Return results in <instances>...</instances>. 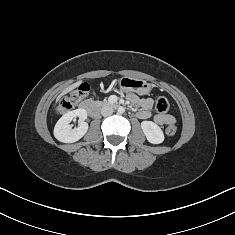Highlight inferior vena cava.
Returning a JSON list of instances; mask_svg holds the SVG:
<instances>
[{
  "label": "inferior vena cava",
  "mask_w": 235,
  "mask_h": 235,
  "mask_svg": "<svg viewBox=\"0 0 235 235\" xmlns=\"http://www.w3.org/2000/svg\"><path fill=\"white\" fill-rule=\"evenodd\" d=\"M113 113V108L109 105H106L104 107H102L101 109V114L106 117V116H110Z\"/></svg>",
  "instance_id": "obj_1"
}]
</instances>
